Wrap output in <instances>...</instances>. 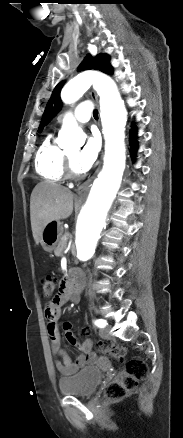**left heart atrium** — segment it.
<instances>
[{
  "instance_id": "39dd6f15",
  "label": "left heart atrium",
  "mask_w": 183,
  "mask_h": 438,
  "mask_svg": "<svg viewBox=\"0 0 183 438\" xmlns=\"http://www.w3.org/2000/svg\"><path fill=\"white\" fill-rule=\"evenodd\" d=\"M100 151V140L93 134L88 137L85 146L78 153L75 159V166L80 172H85L91 168Z\"/></svg>"
}]
</instances>
